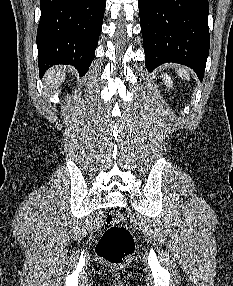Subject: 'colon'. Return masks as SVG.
<instances>
[{
    "label": "colon",
    "mask_w": 233,
    "mask_h": 286,
    "mask_svg": "<svg viewBox=\"0 0 233 286\" xmlns=\"http://www.w3.org/2000/svg\"><path fill=\"white\" fill-rule=\"evenodd\" d=\"M106 229L96 246L97 256L110 265H120L134 252V239L121 213H110Z\"/></svg>",
    "instance_id": "1"
}]
</instances>
